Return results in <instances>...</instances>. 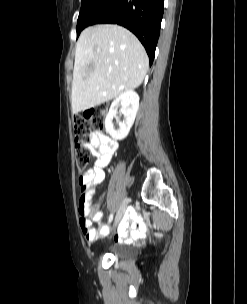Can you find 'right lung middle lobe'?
<instances>
[{
  "instance_id": "obj_1",
  "label": "right lung middle lobe",
  "mask_w": 247,
  "mask_h": 304,
  "mask_svg": "<svg viewBox=\"0 0 247 304\" xmlns=\"http://www.w3.org/2000/svg\"><path fill=\"white\" fill-rule=\"evenodd\" d=\"M102 0H82L81 10L78 17L77 36L83 30V19L101 2Z\"/></svg>"
}]
</instances>
